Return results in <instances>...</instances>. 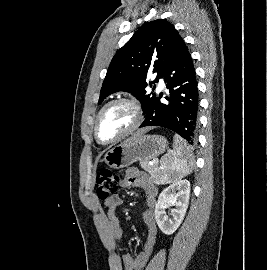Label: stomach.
<instances>
[{
	"label": "stomach",
	"instance_id": "0dacf381",
	"mask_svg": "<svg viewBox=\"0 0 267 270\" xmlns=\"http://www.w3.org/2000/svg\"><path fill=\"white\" fill-rule=\"evenodd\" d=\"M167 139L161 135L142 134L114 146L104 156L105 163L112 168H124L137 161H148L164 153Z\"/></svg>",
	"mask_w": 267,
	"mask_h": 270
}]
</instances>
